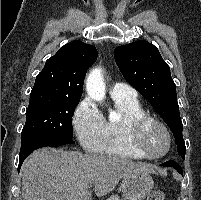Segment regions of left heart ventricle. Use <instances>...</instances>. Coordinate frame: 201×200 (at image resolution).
<instances>
[{"instance_id": "left-heart-ventricle-1", "label": "left heart ventricle", "mask_w": 201, "mask_h": 200, "mask_svg": "<svg viewBox=\"0 0 201 200\" xmlns=\"http://www.w3.org/2000/svg\"><path fill=\"white\" fill-rule=\"evenodd\" d=\"M142 145L150 155L163 153L167 147V139L160 127L148 124L141 135Z\"/></svg>"}]
</instances>
